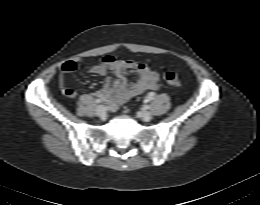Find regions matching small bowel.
<instances>
[{"label":"small bowel","mask_w":260,"mask_h":205,"mask_svg":"<svg viewBox=\"0 0 260 205\" xmlns=\"http://www.w3.org/2000/svg\"><path fill=\"white\" fill-rule=\"evenodd\" d=\"M80 59L65 62L60 69L59 86L62 93L74 98L76 92L67 85L66 75L76 70ZM89 71L94 74L107 76V83L93 93L94 96L103 99L110 110L119 108L129 99L140 95L146 90L158 88V73L147 64L133 59H117L107 55L98 64L91 65ZM134 73L137 79L129 81L127 75Z\"/></svg>","instance_id":"obj_1"}]
</instances>
